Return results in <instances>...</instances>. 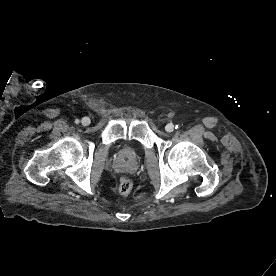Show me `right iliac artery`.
Wrapping results in <instances>:
<instances>
[{
    "mask_svg": "<svg viewBox=\"0 0 276 276\" xmlns=\"http://www.w3.org/2000/svg\"><path fill=\"white\" fill-rule=\"evenodd\" d=\"M80 121L79 119H75V123L78 124Z\"/></svg>",
    "mask_w": 276,
    "mask_h": 276,
    "instance_id": "obj_1",
    "label": "right iliac artery"
}]
</instances>
